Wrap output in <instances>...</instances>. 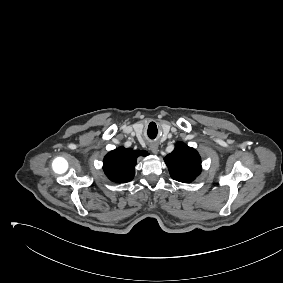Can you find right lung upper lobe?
Masks as SVG:
<instances>
[{
  "instance_id": "cb5924a9",
  "label": "right lung upper lobe",
  "mask_w": 283,
  "mask_h": 283,
  "mask_svg": "<svg viewBox=\"0 0 283 283\" xmlns=\"http://www.w3.org/2000/svg\"><path fill=\"white\" fill-rule=\"evenodd\" d=\"M147 155L146 151H134L124 147L117 148L105 156L103 170L113 182H129L134 177L138 156Z\"/></svg>"
}]
</instances>
